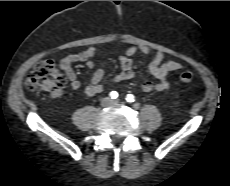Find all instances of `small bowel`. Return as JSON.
Instances as JSON below:
<instances>
[{"label": "small bowel", "mask_w": 230, "mask_h": 186, "mask_svg": "<svg viewBox=\"0 0 230 186\" xmlns=\"http://www.w3.org/2000/svg\"><path fill=\"white\" fill-rule=\"evenodd\" d=\"M138 52L149 55L151 53V49L147 46L129 47L119 57L121 71L110 79L111 84L130 80L135 77V71L133 69V57ZM98 53L99 51L97 48L88 47L80 52L68 54L60 60V67L65 72V75L70 83V88L72 90H78L81 87V82L73 69V64L77 62H83L89 69L93 70L90 82L84 88V94L91 97L103 91L101 81L104 78L105 71L103 68H95L93 61ZM148 68L149 73L157 81H145L142 84V90L147 93L153 91L163 92L170 89V83L168 81L169 73L180 70L182 68V64L175 58L168 57L166 53L157 51L151 58ZM60 94L61 92L55 96H59Z\"/></svg>", "instance_id": "1"}]
</instances>
